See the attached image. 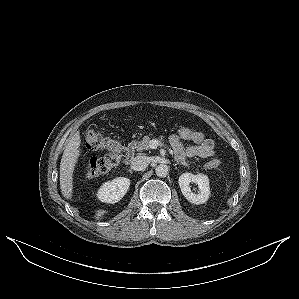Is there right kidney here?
Instances as JSON below:
<instances>
[{"instance_id":"right-kidney-1","label":"right kidney","mask_w":299,"mask_h":299,"mask_svg":"<svg viewBox=\"0 0 299 299\" xmlns=\"http://www.w3.org/2000/svg\"><path fill=\"white\" fill-rule=\"evenodd\" d=\"M130 186V180L125 177H118L112 181L105 182L97 192L100 201L114 204L120 201Z\"/></svg>"}]
</instances>
